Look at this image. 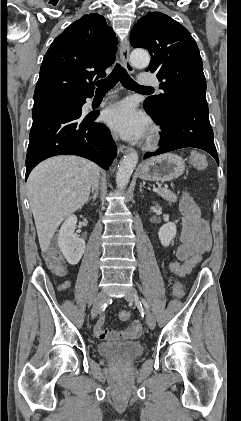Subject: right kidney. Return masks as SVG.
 <instances>
[{"label": "right kidney", "instance_id": "right-kidney-1", "mask_svg": "<svg viewBox=\"0 0 241 421\" xmlns=\"http://www.w3.org/2000/svg\"><path fill=\"white\" fill-rule=\"evenodd\" d=\"M77 217L69 216L62 224L58 235V246L71 265H76L85 251V241L74 234Z\"/></svg>", "mask_w": 241, "mask_h": 421}]
</instances>
